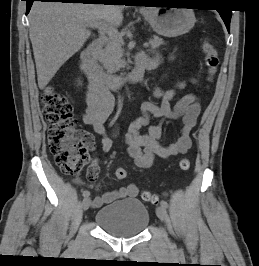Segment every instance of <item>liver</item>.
<instances>
[{"label": "liver", "mask_w": 259, "mask_h": 266, "mask_svg": "<svg viewBox=\"0 0 259 266\" xmlns=\"http://www.w3.org/2000/svg\"><path fill=\"white\" fill-rule=\"evenodd\" d=\"M123 5L34 2L29 14V37L42 90L59 68L91 36L89 24L104 21L120 26Z\"/></svg>", "instance_id": "1"}]
</instances>
